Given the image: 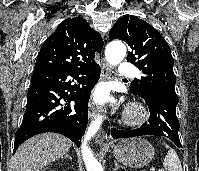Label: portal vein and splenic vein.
<instances>
[{"label":"portal vein and splenic vein","instance_id":"18ae733b","mask_svg":"<svg viewBox=\"0 0 199 171\" xmlns=\"http://www.w3.org/2000/svg\"><path fill=\"white\" fill-rule=\"evenodd\" d=\"M153 170H155V168H153ZM156 171H165V169L160 168V169H156Z\"/></svg>","mask_w":199,"mask_h":171}]
</instances>
